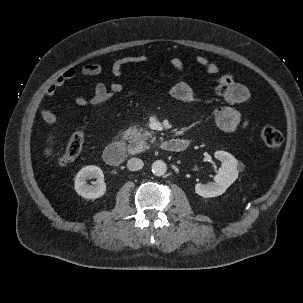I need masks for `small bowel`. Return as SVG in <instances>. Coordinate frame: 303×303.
<instances>
[{"label": "small bowel", "instance_id": "1", "mask_svg": "<svg viewBox=\"0 0 303 303\" xmlns=\"http://www.w3.org/2000/svg\"><path fill=\"white\" fill-rule=\"evenodd\" d=\"M148 60V56L144 54L124 56L112 63L110 71L113 76L120 77L126 66L146 63ZM195 62L207 74L214 75L221 72V67L205 56H197ZM170 64L177 74V79L170 88V95L179 102L194 103L200 101L202 95L197 92L185 78L186 66L184 61L179 57H173L170 59ZM102 71L103 67L96 63L86 64L81 69L82 74L85 76H96L102 73ZM75 75L76 72L74 69H68L63 72L46 88L43 98L53 97L57 91L71 81ZM123 90V85L118 81H113L109 85L98 82L95 84L93 95L90 98L87 99L81 96H74L73 100L78 105L86 106L89 105L90 101L100 98L105 93L119 94ZM215 91L219 97L230 105L244 104L248 103L250 100L248 88L245 85L238 83L229 73H225L219 77ZM39 112L41 118L47 124L52 125L56 122V116L50 109L42 107ZM213 121L219 129L225 132L245 129L249 125L248 120L244 118L237 109L231 106H221L215 109L213 112Z\"/></svg>", "mask_w": 303, "mask_h": 303}]
</instances>
